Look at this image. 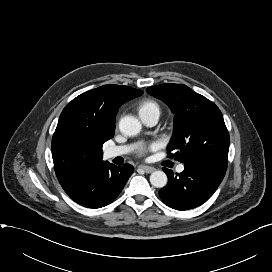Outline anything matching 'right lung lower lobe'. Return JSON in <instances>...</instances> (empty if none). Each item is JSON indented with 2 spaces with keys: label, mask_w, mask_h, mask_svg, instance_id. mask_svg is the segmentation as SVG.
Here are the masks:
<instances>
[{
  "label": "right lung lower lobe",
  "mask_w": 272,
  "mask_h": 272,
  "mask_svg": "<svg viewBox=\"0 0 272 272\" xmlns=\"http://www.w3.org/2000/svg\"><path fill=\"white\" fill-rule=\"evenodd\" d=\"M133 172L130 164L118 167L103 161L62 185V188L76 203L88 208H101L119 195Z\"/></svg>",
  "instance_id": "right-lung-lower-lobe-1"
}]
</instances>
